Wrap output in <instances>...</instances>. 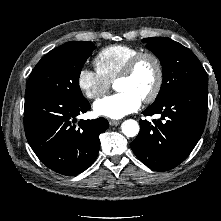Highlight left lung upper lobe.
<instances>
[{
  "mask_svg": "<svg viewBox=\"0 0 221 221\" xmlns=\"http://www.w3.org/2000/svg\"><path fill=\"white\" fill-rule=\"evenodd\" d=\"M143 42L159 58L163 67L162 86L152 105L182 89L208 85L206 71L190 49L165 37L145 38Z\"/></svg>",
  "mask_w": 221,
  "mask_h": 221,
  "instance_id": "5c2ea615",
  "label": "left lung upper lobe"
}]
</instances>
